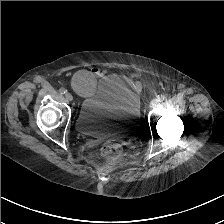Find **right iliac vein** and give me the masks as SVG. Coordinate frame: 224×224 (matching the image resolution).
<instances>
[{
  "label": "right iliac vein",
  "mask_w": 224,
  "mask_h": 224,
  "mask_svg": "<svg viewBox=\"0 0 224 224\" xmlns=\"http://www.w3.org/2000/svg\"><path fill=\"white\" fill-rule=\"evenodd\" d=\"M65 98H66L67 101H72L73 100V96L71 95V93H68V92L65 94Z\"/></svg>",
  "instance_id": "obj_1"
}]
</instances>
